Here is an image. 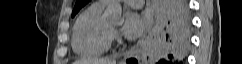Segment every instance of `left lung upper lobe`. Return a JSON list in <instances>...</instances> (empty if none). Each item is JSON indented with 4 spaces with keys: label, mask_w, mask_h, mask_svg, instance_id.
Masks as SVG:
<instances>
[{
    "label": "left lung upper lobe",
    "mask_w": 242,
    "mask_h": 64,
    "mask_svg": "<svg viewBox=\"0 0 242 64\" xmlns=\"http://www.w3.org/2000/svg\"><path fill=\"white\" fill-rule=\"evenodd\" d=\"M90 0H77L76 1V4H75V7L73 9V12H72V17H74L78 11L83 7L85 6Z\"/></svg>",
    "instance_id": "left-lung-upper-lobe-1"
}]
</instances>
